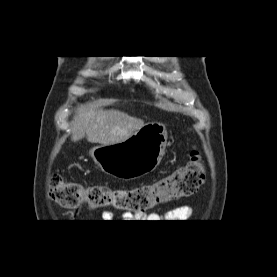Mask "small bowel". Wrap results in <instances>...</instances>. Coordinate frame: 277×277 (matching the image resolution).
Listing matches in <instances>:
<instances>
[{"label": "small bowel", "mask_w": 277, "mask_h": 277, "mask_svg": "<svg viewBox=\"0 0 277 277\" xmlns=\"http://www.w3.org/2000/svg\"><path fill=\"white\" fill-rule=\"evenodd\" d=\"M79 213V209H74L70 212L69 218L74 219ZM193 215L192 207L188 205H183L175 207L167 211L165 214L159 212H152L146 216H133L130 213H125L123 215L124 220H146L145 222H162V220H171V222H184L189 220ZM113 217L110 211L103 212V218L106 220H111Z\"/></svg>", "instance_id": "c3829d8e"}]
</instances>
